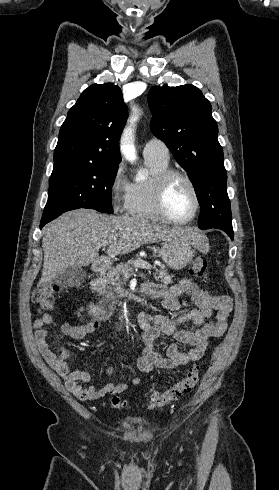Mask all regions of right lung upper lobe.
I'll use <instances>...</instances> for the list:
<instances>
[{
  "label": "right lung upper lobe",
  "mask_w": 279,
  "mask_h": 490,
  "mask_svg": "<svg viewBox=\"0 0 279 490\" xmlns=\"http://www.w3.org/2000/svg\"><path fill=\"white\" fill-rule=\"evenodd\" d=\"M127 115L118 86L106 83L88 87L60 128L54 165L121 161L118 140Z\"/></svg>",
  "instance_id": "cb5924a9"
}]
</instances>
